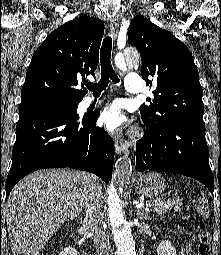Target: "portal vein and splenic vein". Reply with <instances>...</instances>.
<instances>
[{"label":"portal vein and splenic vein","instance_id":"18ae733b","mask_svg":"<svg viewBox=\"0 0 221 255\" xmlns=\"http://www.w3.org/2000/svg\"><path fill=\"white\" fill-rule=\"evenodd\" d=\"M143 205H144V203H143V202H140V203L137 204V208H141ZM148 207H149V206L147 205V207L145 208L146 211L149 210Z\"/></svg>","mask_w":221,"mask_h":255}]
</instances>
